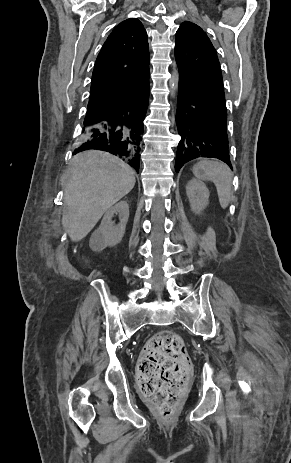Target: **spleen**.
Segmentation results:
<instances>
[{"label": "spleen", "instance_id": "1", "mask_svg": "<svg viewBox=\"0 0 291 463\" xmlns=\"http://www.w3.org/2000/svg\"><path fill=\"white\" fill-rule=\"evenodd\" d=\"M192 171L197 179L215 184L220 205L227 208L232 195V173L228 166L217 161H200Z\"/></svg>", "mask_w": 291, "mask_h": 463}]
</instances>
